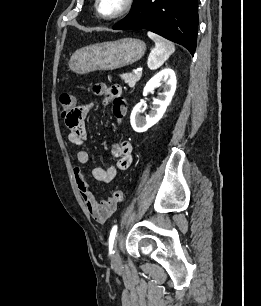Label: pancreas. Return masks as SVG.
<instances>
[{"mask_svg": "<svg viewBox=\"0 0 261 306\" xmlns=\"http://www.w3.org/2000/svg\"><path fill=\"white\" fill-rule=\"evenodd\" d=\"M142 72L138 73H127L120 75V77L125 81L126 84H128L130 87H134L136 83L141 79Z\"/></svg>", "mask_w": 261, "mask_h": 306, "instance_id": "obj_1", "label": "pancreas"}]
</instances>
